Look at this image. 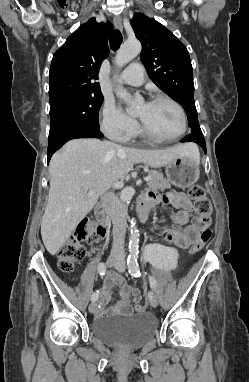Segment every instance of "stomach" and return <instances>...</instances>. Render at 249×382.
Instances as JSON below:
<instances>
[{"label":"stomach","instance_id":"1","mask_svg":"<svg viewBox=\"0 0 249 382\" xmlns=\"http://www.w3.org/2000/svg\"><path fill=\"white\" fill-rule=\"evenodd\" d=\"M166 175L174 186L189 187L199 179V160L190 155H179L167 164Z\"/></svg>","mask_w":249,"mask_h":382}]
</instances>
